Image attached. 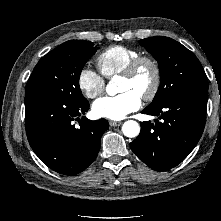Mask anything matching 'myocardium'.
<instances>
[{"label":"myocardium","instance_id":"obj_1","mask_svg":"<svg viewBox=\"0 0 221 221\" xmlns=\"http://www.w3.org/2000/svg\"><path fill=\"white\" fill-rule=\"evenodd\" d=\"M145 65L152 69L153 81L150 89L146 93L142 94L141 98L145 101H151L157 96L162 82L161 67L155 58L140 55L133 59L120 75L126 79H133L136 77L139 70Z\"/></svg>","mask_w":221,"mask_h":221}]
</instances>
